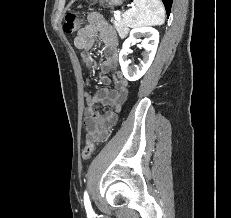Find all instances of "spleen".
Segmentation results:
<instances>
[{"instance_id":"3e777b00","label":"spleen","mask_w":231,"mask_h":218,"mask_svg":"<svg viewBox=\"0 0 231 218\" xmlns=\"http://www.w3.org/2000/svg\"><path fill=\"white\" fill-rule=\"evenodd\" d=\"M134 4L123 16L127 26L139 27L164 23L165 9L160 0H134Z\"/></svg>"}]
</instances>
